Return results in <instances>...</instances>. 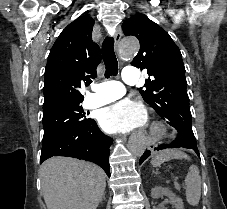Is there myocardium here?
Masks as SVG:
<instances>
[{
	"label": "myocardium",
	"mask_w": 227,
	"mask_h": 209,
	"mask_svg": "<svg viewBox=\"0 0 227 209\" xmlns=\"http://www.w3.org/2000/svg\"><path fill=\"white\" fill-rule=\"evenodd\" d=\"M170 131L166 124L160 120L152 122L148 129L147 137L149 139L164 138L169 135Z\"/></svg>",
	"instance_id": "1"
}]
</instances>
